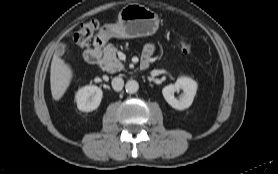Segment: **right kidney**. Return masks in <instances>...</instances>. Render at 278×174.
<instances>
[{
    "label": "right kidney",
    "mask_w": 278,
    "mask_h": 174,
    "mask_svg": "<svg viewBox=\"0 0 278 174\" xmlns=\"http://www.w3.org/2000/svg\"><path fill=\"white\" fill-rule=\"evenodd\" d=\"M103 92L95 85L85 86L78 90L75 96L77 107L84 112H90L98 108Z\"/></svg>",
    "instance_id": "1"
}]
</instances>
